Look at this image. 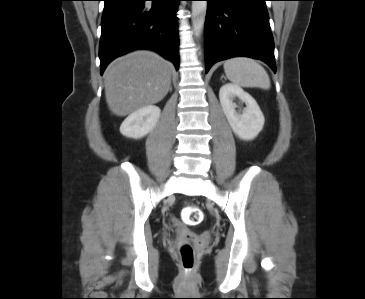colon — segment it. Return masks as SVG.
<instances>
[{
	"label": "colon",
	"instance_id": "colon-1",
	"mask_svg": "<svg viewBox=\"0 0 365 299\" xmlns=\"http://www.w3.org/2000/svg\"><path fill=\"white\" fill-rule=\"evenodd\" d=\"M182 221L189 226L200 224L204 215L197 205H186L181 212ZM179 256L185 269H191L194 264V251L189 243H184L179 248Z\"/></svg>",
	"mask_w": 365,
	"mask_h": 299
}]
</instances>
